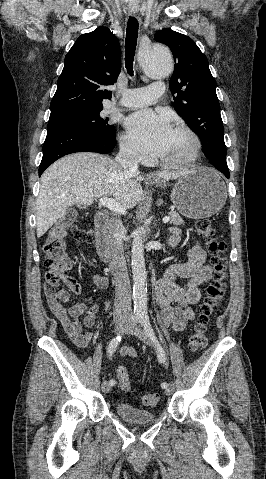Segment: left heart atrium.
Here are the masks:
<instances>
[{"label": "left heart atrium", "mask_w": 266, "mask_h": 479, "mask_svg": "<svg viewBox=\"0 0 266 479\" xmlns=\"http://www.w3.org/2000/svg\"><path fill=\"white\" fill-rule=\"evenodd\" d=\"M125 125L138 146L160 157L166 152L174 132L168 118L149 109L132 113Z\"/></svg>", "instance_id": "1"}]
</instances>
